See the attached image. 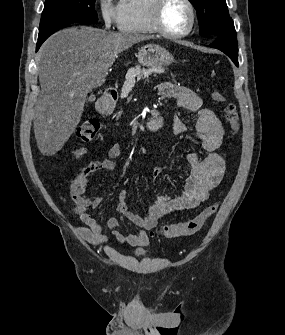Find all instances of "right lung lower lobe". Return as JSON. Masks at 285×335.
Wrapping results in <instances>:
<instances>
[{
    "label": "right lung lower lobe",
    "mask_w": 285,
    "mask_h": 335,
    "mask_svg": "<svg viewBox=\"0 0 285 335\" xmlns=\"http://www.w3.org/2000/svg\"><path fill=\"white\" fill-rule=\"evenodd\" d=\"M69 24H72V23H67V24H64L54 30H52L50 33H48L46 36L44 37H41L39 36L38 37V43H37V46H36V51H38V49L40 48L41 44L46 40L47 37H49L51 34H53L55 31L59 30V29H62L64 28L65 26L69 25Z\"/></svg>",
    "instance_id": "1"
}]
</instances>
